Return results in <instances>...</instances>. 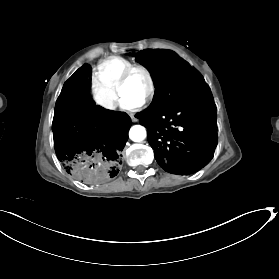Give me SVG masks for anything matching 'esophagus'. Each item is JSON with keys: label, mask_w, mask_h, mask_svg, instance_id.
Listing matches in <instances>:
<instances>
[{"label": "esophagus", "mask_w": 279, "mask_h": 279, "mask_svg": "<svg viewBox=\"0 0 279 279\" xmlns=\"http://www.w3.org/2000/svg\"><path fill=\"white\" fill-rule=\"evenodd\" d=\"M130 117H131V120H132L133 122H135V121H136V118L134 117V115H133V114H130Z\"/></svg>", "instance_id": "obj_1"}]
</instances>
